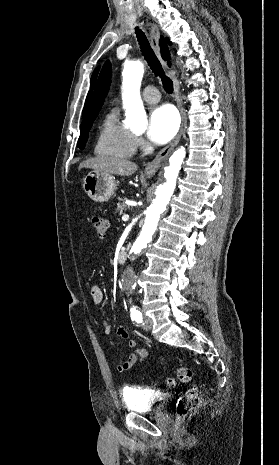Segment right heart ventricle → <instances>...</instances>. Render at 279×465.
Masks as SVG:
<instances>
[{"label": "right heart ventricle", "mask_w": 279, "mask_h": 465, "mask_svg": "<svg viewBox=\"0 0 279 465\" xmlns=\"http://www.w3.org/2000/svg\"><path fill=\"white\" fill-rule=\"evenodd\" d=\"M132 132L120 121L117 109H111L105 116L95 145V154L100 157L125 159L135 152Z\"/></svg>", "instance_id": "obj_1"}]
</instances>
